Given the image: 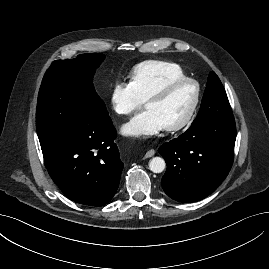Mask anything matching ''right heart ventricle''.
I'll return each instance as SVG.
<instances>
[{"instance_id": "1", "label": "right heart ventricle", "mask_w": 269, "mask_h": 269, "mask_svg": "<svg viewBox=\"0 0 269 269\" xmlns=\"http://www.w3.org/2000/svg\"><path fill=\"white\" fill-rule=\"evenodd\" d=\"M182 68L174 63L149 60L135 66L131 71L130 82L142 101L168 82L185 78Z\"/></svg>"}]
</instances>
